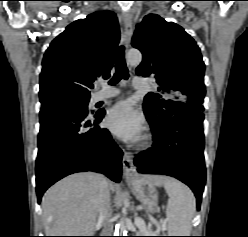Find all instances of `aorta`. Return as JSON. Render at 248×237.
Returning a JSON list of instances; mask_svg holds the SVG:
<instances>
[{"instance_id": "762f6f07", "label": "aorta", "mask_w": 248, "mask_h": 237, "mask_svg": "<svg viewBox=\"0 0 248 237\" xmlns=\"http://www.w3.org/2000/svg\"><path fill=\"white\" fill-rule=\"evenodd\" d=\"M126 60L127 63L131 66L139 65L142 61V54L138 50H131L127 53ZM119 230L120 236H122L121 234H125V225L123 221H120V223L117 225V234H119Z\"/></svg>"}]
</instances>
